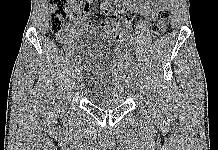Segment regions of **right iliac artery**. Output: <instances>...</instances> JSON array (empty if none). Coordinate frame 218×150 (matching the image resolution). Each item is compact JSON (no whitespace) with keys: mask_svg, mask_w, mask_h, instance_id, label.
Segmentation results:
<instances>
[{"mask_svg":"<svg viewBox=\"0 0 218 150\" xmlns=\"http://www.w3.org/2000/svg\"><path fill=\"white\" fill-rule=\"evenodd\" d=\"M77 62H78V58H75V59L73 60V66H75V63L77 64Z\"/></svg>","mask_w":218,"mask_h":150,"instance_id":"82829eb1","label":"right iliac artery"}]
</instances>
